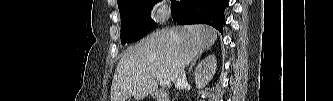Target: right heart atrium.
I'll list each match as a JSON object with an SVG mask.
<instances>
[{"mask_svg": "<svg viewBox=\"0 0 333 101\" xmlns=\"http://www.w3.org/2000/svg\"><path fill=\"white\" fill-rule=\"evenodd\" d=\"M150 14L156 21H164L170 15V8L166 1H155L151 4Z\"/></svg>", "mask_w": 333, "mask_h": 101, "instance_id": "obj_1", "label": "right heart atrium"}]
</instances>
